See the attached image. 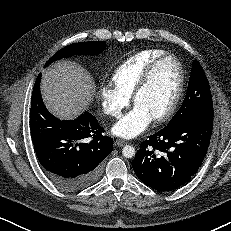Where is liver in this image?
Instances as JSON below:
<instances>
[{
	"instance_id": "1",
	"label": "liver",
	"mask_w": 231,
	"mask_h": 231,
	"mask_svg": "<svg viewBox=\"0 0 231 231\" xmlns=\"http://www.w3.org/2000/svg\"><path fill=\"white\" fill-rule=\"evenodd\" d=\"M41 90L51 113L60 119H73L91 103L95 84L80 65L60 61L43 71Z\"/></svg>"
}]
</instances>
